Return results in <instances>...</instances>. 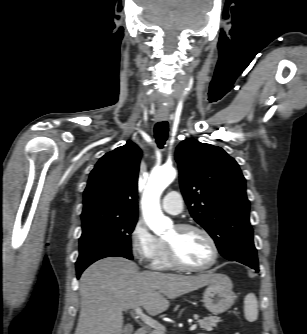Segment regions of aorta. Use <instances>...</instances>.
Here are the masks:
<instances>
[{"instance_id": "obj_1", "label": "aorta", "mask_w": 307, "mask_h": 334, "mask_svg": "<svg viewBox=\"0 0 307 334\" xmlns=\"http://www.w3.org/2000/svg\"><path fill=\"white\" fill-rule=\"evenodd\" d=\"M176 178L173 167L154 169L149 177L142 197V213L147 226L158 236L173 227V222L166 217L160 207V196Z\"/></svg>"}]
</instances>
